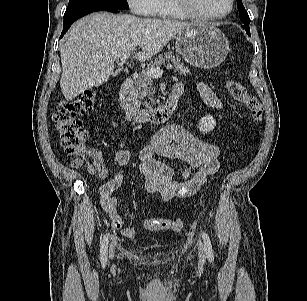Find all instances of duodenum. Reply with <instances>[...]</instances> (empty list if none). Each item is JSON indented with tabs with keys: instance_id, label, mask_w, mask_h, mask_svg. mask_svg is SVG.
<instances>
[{
	"instance_id": "1",
	"label": "duodenum",
	"mask_w": 307,
	"mask_h": 301,
	"mask_svg": "<svg viewBox=\"0 0 307 301\" xmlns=\"http://www.w3.org/2000/svg\"><path fill=\"white\" fill-rule=\"evenodd\" d=\"M133 79L127 77L119 91V102L123 110L139 124H160L170 118L177 108L179 97L183 90L174 87L166 102L156 108L145 109L136 104L132 96Z\"/></svg>"
}]
</instances>
